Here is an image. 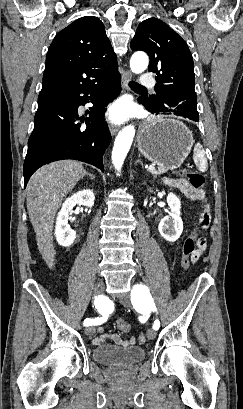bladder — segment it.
<instances>
[{
  "label": "bladder",
  "mask_w": 243,
  "mask_h": 409,
  "mask_svg": "<svg viewBox=\"0 0 243 409\" xmlns=\"http://www.w3.org/2000/svg\"><path fill=\"white\" fill-rule=\"evenodd\" d=\"M92 355L94 360L101 364L131 366L141 362L146 352L142 347L100 345L93 349Z\"/></svg>",
  "instance_id": "obj_1"
}]
</instances>
